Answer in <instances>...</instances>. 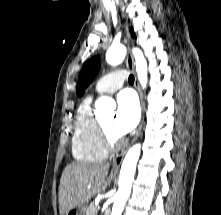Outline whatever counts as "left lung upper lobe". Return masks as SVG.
I'll return each mask as SVG.
<instances>
[{
  "mask_svg": "<svg viewBox=\"0 0 221 215\" xmlns=\"http://www.w3.org/2000/svg\"><path fill=\"white\" fill-rule=\"evenodd\" d=\"M132 36L134 37V32L131 29ZM100 69V57L94 56L92 57L82 68L77 84V95L82 96L86 90V88L90 85L93 81L95 76L97 75Z\"/></svg>",
  "mask_w": 221,
  "mask_h": 215,
  "instance_id": "obj_1",
  "label": "left lung upper lobe"
}]
</instances>
